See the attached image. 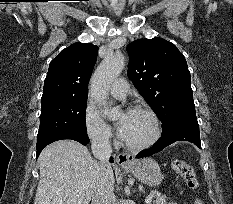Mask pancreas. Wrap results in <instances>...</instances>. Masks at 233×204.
Segmentation results:
<instances>
[{"label":"pancreas","mask_w":233,"mask_h":204,"mask_svg":"<svg viewBox=\"0 0 233 204\" xmlns=\"http://www.w3.org/2000/svg\"><path fill=\"white\" fill-rule=\"evenodd\" d=\"M153 195L154 199V204H168L166 197L164 195H161V193L154 191L151 193Z\"/></svg>","instance_id":"1"}]
</instances>
